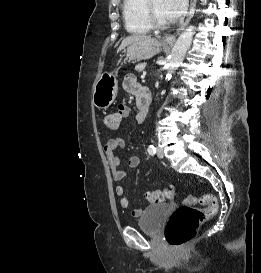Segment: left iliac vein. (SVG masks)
<instances>
[{
  "instance_id": "1",
  "label": "left iliac vein",
  "mask_w": 261,
  "mask_h": 273,
  "mask_svg": "<svg viewBox=\"0 0 261 273\" xmlns=\"http://www.w3.org/2000/svg\"><path fill=\"white\" fill-rule=\"evenodd\" d=\"M157 156L159 158H163L164 157V152L161 148L157 147Z\"/></svg>"
}]
</instances>
